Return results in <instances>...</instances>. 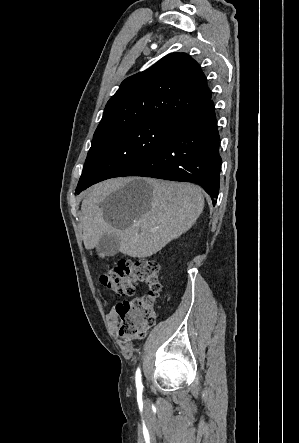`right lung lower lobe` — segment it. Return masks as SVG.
I'll use <instances>...</instances> for the list:
<instances>
[{
  "label": "right lung lower lobe",
  "mask_w": 299,
  "mask_h": 443,
  "mask_svg": "<svg viewBox=\"0 0 299 443\" xmlns=\"http://www.w3.org/2000/svg\"><path fill=\"white\" fill-rule=\"evenodd\" d=\"M219 134L211 98L181 116L172 136L146 160L121 176H143L199 184L211 196L219 192Z\"/></svg>",
  "instance_id": "1"
}]
</instances>
